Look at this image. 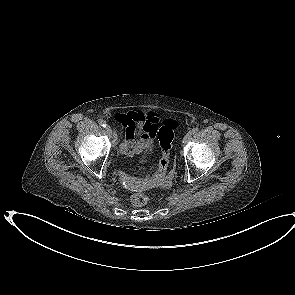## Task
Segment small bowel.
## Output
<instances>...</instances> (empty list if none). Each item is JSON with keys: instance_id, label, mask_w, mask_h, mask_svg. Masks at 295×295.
<instances>
[{"instance_id": "c3829d8e", "label": "small bowel", "mask_w": 295, "mask_h": 295, "mask_svg": "<svg viewBox=\"0 0 295 295\" xmlns=\"http://www.w3.org/2000/svg\"><path fill=\"white\" fill-rule=\"evenodd\" d=\"M116 120L126 127L125 138L120 146L121 153L124 156L134 157L152 151L155 138L154 125L159 120L155 113L134 111L118 114ZM119 181L129 189L148 190L150 188L148 181L132 180L126 174H121Z\"/></svg>"}]
</instances>
